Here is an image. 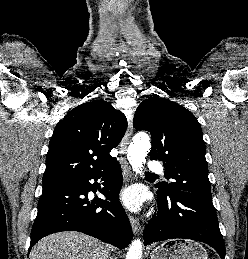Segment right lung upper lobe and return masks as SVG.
<instances>
[{
  "instance_id": "right-lung-upper-lobe-1",
  "label": "right lung upper lobe",
  "mask_w": 248,
  "mask_h": 259,
  "mask_svg": "<svg viewBox=\"0 0 248 259\" xmlns=\"http://www.w3.org/2000/svg\"><path fill=\"white\" fill-rule=\"evenodd\" d=\"M126 128L125 115L107 101L87 102L72 109L51 137L43 185L106 170L116 160L109 153Z\"/></svg>"
}]
</instances>
